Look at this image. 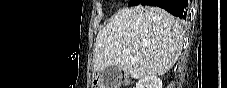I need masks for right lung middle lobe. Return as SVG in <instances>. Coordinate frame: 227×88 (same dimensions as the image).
<instances>
[{"mask_svg":"<svg viewBox=\"0 0 227 88\" xmlns=\"http://www.w3.org/2000/svg\"><path fill=\"white\" fill-rule=\"evenodd\" d=\"M140 2H141V0H131L129 2V5H131V6L138 5Z\"/></svg>","mask_w":227,"mask_h":88,"instance_id":"dd1d6c3e","label":"right lung middle lobe"}]
</instances>
